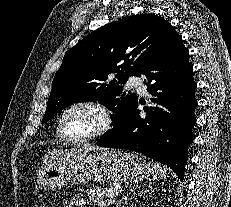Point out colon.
Masks as SVG:
<instances>
[{"label": "colon", "mask_w": 231, "mask_h": 207, "mask_svg": "<svg viewBox=\"0 0 231 207\" xmlns=\"http://www.w3.org/2000/svg\"><path fill=\"white\" fill-rule=\"evenodd\" d=\"M38 207H49V206H47V205H40V206H38Z\"/></svg>", "instance_id": "1"}]
</instances>
